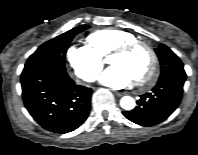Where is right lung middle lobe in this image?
Listing matches in <instances>:
<instances>
[{
	"label": "right lung middle lobe",
	"instance_id": "1",
	"mask_svg": "<svg viewBox=\"0 0 198 155\" xmlns=\"http://www.w3.org/2000/svg\"><path fill=\"white\" fill-rule=\"evenodd\" d=\"M87 28L89 26L81 25L47 41L28 58L25 67L47 66L65 72L66 50L73 37Z\"/></svg>",
	"mask_w": 198,
	"mask_h": 155
}]
</instances>
